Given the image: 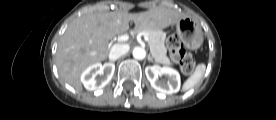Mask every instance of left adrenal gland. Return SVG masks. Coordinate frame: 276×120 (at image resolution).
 Here are the masks:
<instances>
[{"instance_id": "obj_1", "label": "left adrenal gland", "mask_w": 276, "mask_h": 120, "mask_svg": "<svg viewBox=\"0 0 276 120\" xmlns=\"http://www.w3.org/2000/svg\"><path fill=\"white\" fill-rule=\"evenodd\" d=\"M148 61L154 62V60H153V58H152V56L150 54L148 55Z\"/></svg>"}]
</instances>
